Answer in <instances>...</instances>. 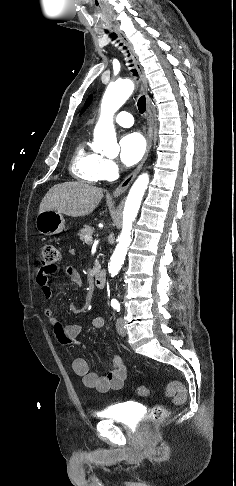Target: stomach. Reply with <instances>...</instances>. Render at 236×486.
I'll list each match as a JSON object with an SVG mask.
<instances>
[{"label": "stomach", "mask_w": 236, "mask_h": 486, "mask_svg": "<svg viewBox=\"0 0 236 486\" xmlns=\"http://www.w3.org/2000/svg\"><path fill=\"white\" fill-rule=\"evenodd\" d=\"M65 226L63 215L57 211H44L37 215L35 227L37 231L44 235L60 233Z\"/></svg>", "instance_id": "obj_1"}]
</instances>
